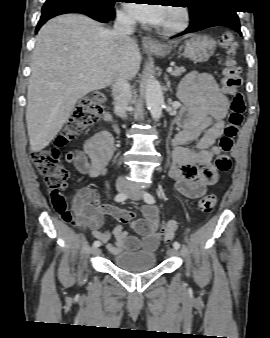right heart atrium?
<instances>
[{
    "mask_svg": "<svg viewBox=\"0 0 270 338\" xmlns=\"http://www.w3.org/2000/svg\"><path fill=\"white\" fill-rule=\"evenodd\" d=\"M119 16H120V19H121L123 22H126V23H133V18H132L128 13L122 11V12H120Z\"/></svg>",
    "mask_w": 270,
    "mask_h": 338,
    "instance_id": "obj_1",
    "label": "right heart atrium"
}]
</instances>
